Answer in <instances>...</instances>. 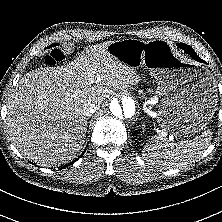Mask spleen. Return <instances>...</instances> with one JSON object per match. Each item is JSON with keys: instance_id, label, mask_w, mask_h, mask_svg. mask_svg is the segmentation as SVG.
I'll return each instance as SVG.
<instances>
[{"instance_id": "obj_1", "label": "spleen", "mask_w": 222, "mask_h": 222, "mask_svg": "<svg viewBox=\"0 0 222 222\" xmlns=\"http://www.w3.org/2000/svg\"><path fill=\"white\" fill-rule=\"evenodd\" d=\"M210 139L211 132L206 131L193 140L180 141L174 147L166 138L157 136L145 145L142 155L151 164L161 167H183L200 158L209 146Z\"/></svg>"}]
</instances>
